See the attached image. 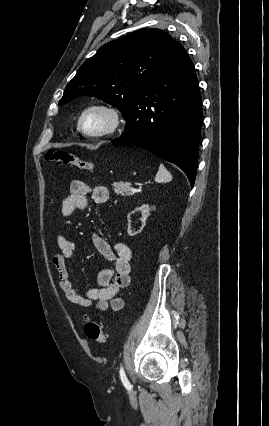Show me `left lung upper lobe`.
Returning <instances> with one entry per match:
<instances>
[{"label":"left lung upper lobe","instance_id":"obj_1","mask_svg":"<svg viewBox=\"0 0 269 426\" xmlns=\"http://www.w3.org/2000/svg\"><path fill=\"white\" fill-rule=\"evenodd\" d=\"M160 29H142L106 43L86 60L67 84L59 105L82 95L94 96L120 110L123 117L174 45Z\"/></svg>","mask_w":269,"mask_h":426}]
</instances>
